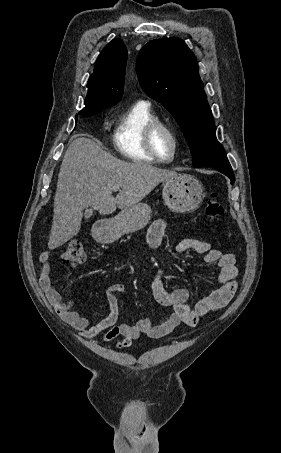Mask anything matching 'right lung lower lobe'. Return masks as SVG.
<instances>
[{"mask_svg": "<svg viewBox=\"0 0 281 453\" xmlns=\"http://www.w3.org/2000/svg\"><path fill=\"white\" fill-rule=\"evenodd\" d=\"M79 114H83L85 116H92V115H95L97 113H94V112H88V113H84V112H79Z\"/></svg>", "mask_w": 281, "mask_h": 453, "instance_id": "obj_1", "label": "right lung lower lobe"}]
</instances>
